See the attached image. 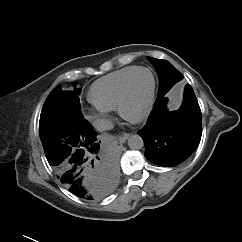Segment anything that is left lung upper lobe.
<instances>
[{"label": "left lung upper lobe", "instance_id": "obj_1", "mask_svg": "<svg viewBox=\"0 0 242 242\" xmlns=\"http://www.w3.org/2000/svg\"><path fill=\"white\" fill-rule=\"evenodd\" d=\"M154 65L159 76V90L157 98L164 97L170 88L183 78L182 74L168 61L147 57Z\"/></svg>", "mask_w": 242, "mask_h": 242}]
</instances>
